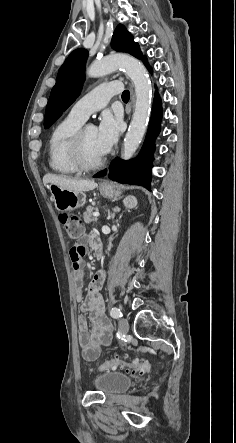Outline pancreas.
Returning <instances> with one entry per match:
<instances>
[{
	"instance_id": "pancreas-1",
	"label": "pancreas",
	"mask_w": 236,
	"mask_h": 443,
	"mask_svg": "<svg viewBox=\"0 0 236 443\" xmlns=\"http://www.w3.org/2000/svg\"><path fill=\"white\" fill-rule=\"evenodd\" d=\"M93 210H94V208L92 206H88L86 208V211L84 212V215H83V219L86 223H91L93 221H96V219H94L92 217Z\"/></svg>"
}]
</instances>
